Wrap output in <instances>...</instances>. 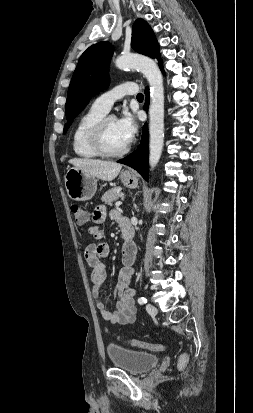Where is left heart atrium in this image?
<instances>
[{
    "label": "left heart atrium",
    "mask_w": 253,
    "mask_h": 413,
    "mask_svg": "<svg viewBox=\"0 0 253 413\" xmlns=\"http://www.w3.org/2000/svg\"><path fill=\"white\" fill-rule=\"evenodd\" d=\"M116 127L126 144H129L133 140L137 132L136 120L129 112H124L120 118L116 120Z\"/></svg>",
    "instance_id": "obj_1"
}]
</instances>
